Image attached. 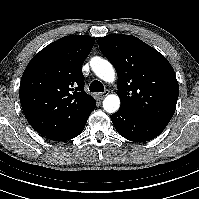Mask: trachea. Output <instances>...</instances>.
Returning a JSON list of instances; mask_svg holds the SVG:
<instances>
[{"label": "trachea", "mask_w": 199, "mask_h": 199, "mask_svg": "<svg viewBox=\"0 0 199 199\" xmlns=\"http://www.w3.org/2000/svg\"><path fill=\"white\" fill-rule=\"evenodd\" d=\"M89 89L91 92H104V86L100 81H93L90 86Z\"/></svg>", "instance_id": "3493384b"}]
</instances>
